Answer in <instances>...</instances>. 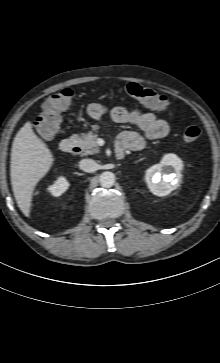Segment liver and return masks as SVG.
Returning a JSON list of instances; mask_svg holds the SVG:
<instances>
[{
  "mask_svg": "<svg viewBox=\"0 0 220 363\" xmlns=\"http://www.w3.org/2000/svg\"><path fill=\"white\" fill-rule=\"evenodd\" d=\"M48 146L37 137L28 121L16 134L11 149L10 176L15 200L22 213L30 216L35 186L53 165Z\"/></svg>",
  "mask_w": 220,
  "mask_h": 363,
  "instance_id": "6515ba94",
  "label": "liver"
}]
</instances>
